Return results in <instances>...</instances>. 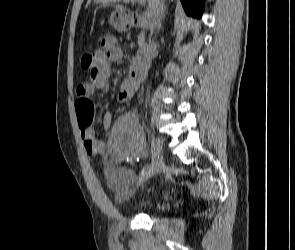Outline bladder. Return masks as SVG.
I'll return each instance as SVG.
<instances>
[{"instance_id":"1","label":"bladder","mask_w":295,"mask_h":250,"mask_svg":"<svg viewBox=\"0 0 295 250\" xmlns=\"http://www.w3.org/2000/svg\"><path fill=\"white\" fill-rule=\"evenodd\" d=\"M157 199L150 196L137 197L129 203V207L132 210L138 212L150 211L155 208Z\"/></svg>"}]
</instances>
